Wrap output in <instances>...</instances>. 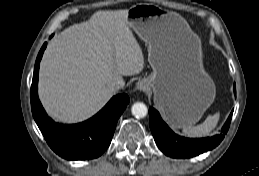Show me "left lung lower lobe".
Here are the masks:
<instances>
[{
	"instance_id": "left-lung-lower-lobe-1",
	"label": "left lung lower lobe",
	"mask_w": 259,
	"mask_h": 176,
	"mask_svg": "<svg viewBox=\"0 0 259 176\" xmlns=\"http://www.w3.org/2000/svg\"><path fill=\"white\" fill-rule=\"evenodd\" d=\"M236 93V86L234 85ZM232 113L221 130V134L207 138L190 139L175 134L162 120L158 111L149 109L150 129L160 150L173 158H190L215 148L227 133Z\"/></svg>"
}]
</instances>
